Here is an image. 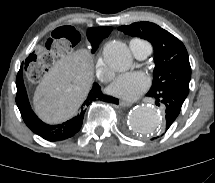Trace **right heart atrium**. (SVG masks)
<instances>
[{"mask_svg": "<svg viewBox=\"0 0 215 183\" xmlns=\"http://www.w3.org/2000/svg\"><path fill=\"white\" fill-rule=\"evenodd\" d=\"M97 77L103 82H109L113 77V72L107 68L102 57H100L96 64Z\"/></svg>", "mask_w": 215, "mask_h": 183, "instance_id": "right-heart-atrium-1", "label": "right heart atrium"}]
</instances>
